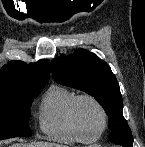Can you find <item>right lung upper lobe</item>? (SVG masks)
<instances>
[{
	"mask_svg": "<svg viewBox=\"0 0 145 147\" xmlns=\"http://www.w3.org/2000/svg\"><path fill=\"white\" fill-rule=\"evenodd\" d=\"M49 74L48 60L30 64L23 61L8 62L0 70V93L28 87H44Z\"/></svg>",
	"mask_w": 145,
	"mask_h": 147,
	"instance_id": "obj_1",
	"label": "right lung upper lobe"
}]
</instances>
